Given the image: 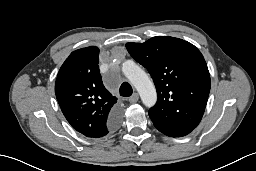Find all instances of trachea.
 <instances>
[{"label":"trachea","instance_id":"1","mask_svg":"<svg viewBox=\"0 0 256 171\" xmlns=\"http://www.w3.org/2000/svg\"><path fill=\"white\" fill-rule=\"evenodd\" d=\"M133 93L132 87L128 82H124L120 86V95L123 97H129Z\"/></svg>","mask_w":256,"mask_h":171}]
</instances>
